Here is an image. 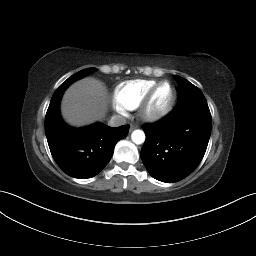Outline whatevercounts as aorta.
I'll return each instance as SVG.
<instances>
[{"label": "aorta", "instance_id": "762f6f07", "mask_svg": "<svg viewBox=\"0 0 256 256\" xmlns=\"http://www.w3.org/2000/svg\"><path fill=\"white\" fill-rule=\"evenodd\" d=\"M131 139L135 144H142L145 141V134L142 130H134Z\"/></svg>", "mask_w": 256, "mask_h": 256}]
</instances>
